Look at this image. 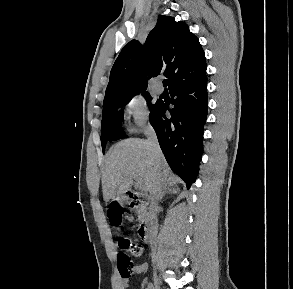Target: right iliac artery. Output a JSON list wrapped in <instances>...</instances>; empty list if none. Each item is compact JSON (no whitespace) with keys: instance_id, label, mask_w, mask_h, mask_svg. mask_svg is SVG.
Segmentation results:
<instances>
[{"instance_id":"1","label":"right iliac artery","mask_w":293,"mask_h":289,"mask_svg":"<svg viewBox=\"0 0 293 289\" xmlns=\"http://www.w3.org/2000/svg\"><path fill=\"white\" fill-rule=\"evenodd\" d=\"M147 289H154L153 284L152 283H149Z\"/></svg>"}]
</instances>
